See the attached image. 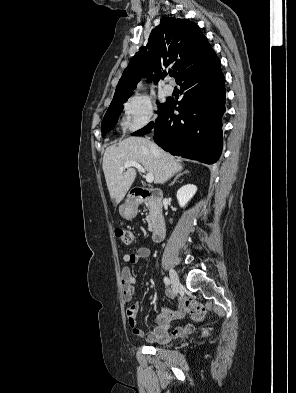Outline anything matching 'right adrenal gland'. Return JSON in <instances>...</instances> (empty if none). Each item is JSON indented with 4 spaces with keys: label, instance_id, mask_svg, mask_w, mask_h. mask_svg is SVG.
<instances>
[{
    "label": "right adrenal gland",
    "instance_id": "obj_1",
    "mask_svg": "<svg viewBox=\"0 0 296 393\" xmlns=\"http://www.w3.org/2000/svg\"><path fill=\"white\" fill-rule=\"evenodd\" d=\"M188 173H189V171H184L183 173L176 175L175 178L173 179V181L169 184V186L174 185L183 174H188Z\"/></svg>",
    "mask_w": 296,
    "mask_h": 393
}]
</instances>
